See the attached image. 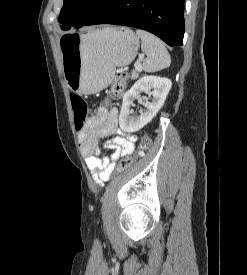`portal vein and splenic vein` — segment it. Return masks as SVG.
Segmentation results:
<instances>
[{"mask_svg":"<svg viewBox=\"0 0 247 275\" xmlns=\"http://www.w3.org/2000/svg\"><path fill=\"white\" fill-rule=\"evenodd\" d=\"M143 58H144V55H141L140 56V58H139V61L137 62V64L135 65V69L137 70V71H142V67H141V61L143 60Z\"/></svg>","mask_w":247,"mask_h":275,"instance_id":"18ae733b","label":"portal vein and splenic vein"}]
</instances>
